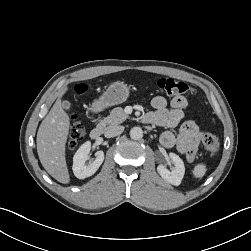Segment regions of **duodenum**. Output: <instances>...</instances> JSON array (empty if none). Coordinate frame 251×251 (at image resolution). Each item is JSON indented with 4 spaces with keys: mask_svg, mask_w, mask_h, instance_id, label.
Masks as SVG:
<instances>
[{
    "mask_svg": "<svg viewBox=\"0 0 251 251\" xmlns=\"http://www.w3.org/2000/svg\"><path fill=\"white\" fill-rule=\"evenodd\" d=\"M142 121L144 123L150 124V120L146 115L143 117ZM102 133H103V128L100 125H95L90 131V137L92 139H98L102 135Z\"/></svg>",
    "mask_w": 251,
    "mask_h": 251,
    "instance_id": "duodenum-1",
    "label": "duodenum"
}]
</instances>
